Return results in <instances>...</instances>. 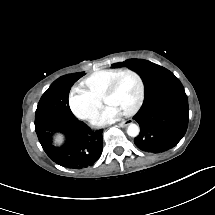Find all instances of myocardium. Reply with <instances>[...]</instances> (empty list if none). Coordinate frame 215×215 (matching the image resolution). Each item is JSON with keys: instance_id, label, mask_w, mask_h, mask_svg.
<instances>
[{"instance_id": "1", "label": "myocardium", "mask_w": 215, "mask_h": 215, "mask_svg": "<svg viewBox=\"0 0 215 215\" xmlns=\"http://www.w3.org/2000/svg\"><path fill=\"white\" fill-rule=\"evenodd\" d=\"M123 76H128L132 78L135 85L132 103L130 106L125 108V115H131L135 109H139V105L143 96L142 80L136 72L129 69H124L121 71V73L114 75V80H112L106 88V95H111V91L115 90V87H117V84L121 82Z\"/></svg>"}]
</instances>
